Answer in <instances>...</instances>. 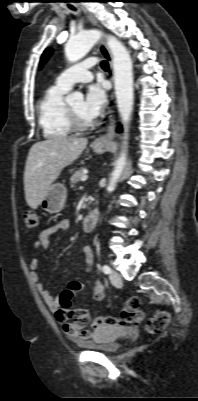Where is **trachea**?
<instances>
[{
	"label": "trachea",
	"mask_w": 198,
	"mask_h": 401,
	"mask_svg": "<svg viewBox=\"0 0 198 401\" xmlns=\"http://www.w3.org/2000/svg\"><path fill=\"white\" fill-rule=\"evenodd\" d=\"M70 8H72V9H74V7L73 6H70ZM101 67H102V69H104V70H108L109 69V65H108V62L107 61H102L101 62Z\"/></svg>",
	"instance_id": "3493384b"
}]
</instances>
